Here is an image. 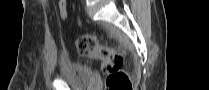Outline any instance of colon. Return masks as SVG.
I'll list each match as a JSON object with an SVG mask.
<instances>
[{
    "label": "colon",
    "mask_w": 209,
    "mask_h": 90,
    "mask_svg": "<svg viewBox=\"0 0 209 90\" xmlns=\"http://www.w3.org/2000/svg\"><path fill=\"white\" fill-rule=\"evenodd\" d=\"M58 12L62 19L67 17L66 0H59ZM76 48L81 57L97 59L101 62L109 90H132V83L123 70V56L120 52L102 45L93 34L79 36L76 40Z\"/></svg>",
    "instance_id": "colon-1"
}]
</instances>
